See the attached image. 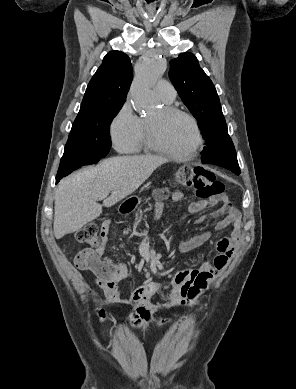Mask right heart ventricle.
Wrapping results in <instances>:
<instances>
[{
	"label": "right heart ventricle",
	"instance_id": "right-heart-ventricle-1",
	"mask_svg": "<svg viewBox=\"0 0 296 389\" xmlns=\"http://www.w3.org/2000/svg\"><path fill=\"white\" fill-rule=\"evenodd\" d=\"M149 149V146L147 144V139H146V135L143 131V135L141 137V140H140V144H139V148L137 151H140V150H147Z\"/></svg>",
	"mask_w": 296,
	"mask_h": 389
}]
</instances>
